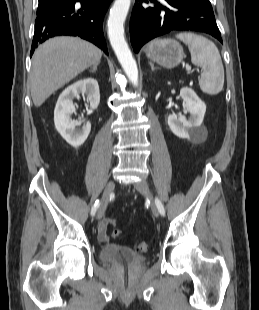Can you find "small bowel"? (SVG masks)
<instances>
[{"mask_svg": "<svg viewBox=\"0 0 259 310\" xmlns=\"http://www.w3.org/2000/svg\"><path fill=\"white\" fill-rule=\"evenodd\" d=\"M97 236H98L99 241L101 242L109 241V236L107 234V224L105 223V221H102L98 225Z\"/></svg>", "mask_w": 259, "mask_h": 310, "instance_id": "1", "label": "small bowel"}]
</instances>
